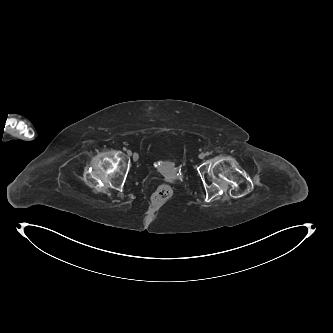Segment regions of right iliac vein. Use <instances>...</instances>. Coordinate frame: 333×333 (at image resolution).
Returning <instances> with one entry per match:
<instances>
[{
	"label": "right iliac vein",
	"instance_id": "63e3f726",
	"mask_svg": "<svg viewBox=\"0 0 333 333\" xmlns=\"http://www.w3.org/2000/svg\"><path fill=\"white\" fill-rule=\"evenodd\" d=\"M128 156H132V152L130 150L127 151ZM133 159L137 161L139 159V155L137 153H134Z\"/></svg>",
	"mask_w": 333,
	"mask_h": 333
}]
</instances>
